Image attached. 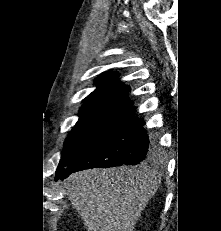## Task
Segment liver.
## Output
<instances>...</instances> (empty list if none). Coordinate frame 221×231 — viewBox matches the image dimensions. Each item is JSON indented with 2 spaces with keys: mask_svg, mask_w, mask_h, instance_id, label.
<instances>
[{
  "mask_svg": "<svg viewBox=\"0 0 221 231\" xmlns=\"http://www.w3.org/2000/svg\"><path fill=\"white\" fill-rule=\"evenodd\" d=\"M65 185L87 231H133L159 181L147 168L123 166L84 170Z\"/></svg>",
  "mask_w": 221,
  "mask_h": 231,
  "instance_id": "6515ba94",
  "label": "liver"
}]
</instances>
